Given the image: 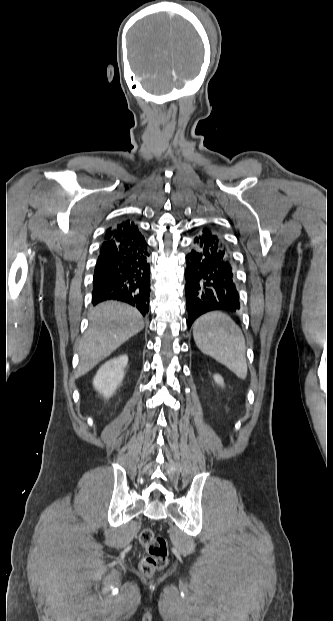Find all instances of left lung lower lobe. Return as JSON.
Wrapping results in <instances>:
<instances>
[{
  "label": "left lung lower lobe",
  "instance_id": "obj_1",
  "mask_svg": "<svg viewBox=\"0 0 333 621\" xmlns=\"http://www.w3.org/2000/svg\"><path fill=\"white\" fill-rule=\"evenodd\" d=\"M186 308L188 327L200 315L240 308L234 263L229 247L213 231L205 228L196 236L186 256Z\"/></svg>",
  "mask_w": 333,
  "mask_h": 621
}]
</instances>
